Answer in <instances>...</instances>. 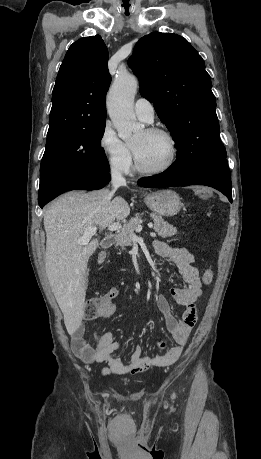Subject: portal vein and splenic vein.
<instances>
[{
  "label": "portal vein and splenic vein",
  "instance_id": "1",
  "mask_svg": "<svg viewBox=\"0 0 261 459\" xmlns=\"http://www.w3.org/2000/svg\"><path fill=\"white\" fill-rule=\"evenodd\" d=\"M148 227L149 228H153V224L152 223H149L148 224ZM108 229L110 231H116V230H119V229H122V225L120 223H112L108 226ZM142 230V226L139 225L136 229L137 232L141 231ZM97 232V227L96 226H91L89 227L83 234V236L81 238H79L77 240L78 244L80 245H86L89 243L90 239L92 238L93 235H95ZM133 239H137L138 237L133 234Z\"/></svg>",
  "mask_w": 261,
  "mask_h": 459
}]
</instances>
